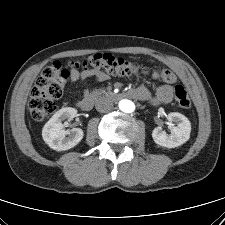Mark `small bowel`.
<instances>
[{"instance_id":"c3829d8e","label":"small bowel","mask_w":225,"mask_h":225,"mask_svg":"<svg viewBox=\"0 0 225 225\" xmlns=\"http://www.w3.org/2000/svg\"><path fill=\"white\" fill-rule=\"evenodd\" d=\"M87 79H94L96 81L103 82L108 79V76L104 72L95 69H72L70 71L71 83H76L80 80ZM133 92V97L140 100L151 101L153 104L169 103L173 97V87L168 84L158 86L154 94H152L145 86H140Z\"/></svg>"}]
</instances>
